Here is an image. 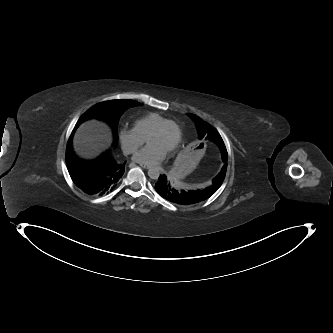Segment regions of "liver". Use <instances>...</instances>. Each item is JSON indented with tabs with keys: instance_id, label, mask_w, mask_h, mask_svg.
Segmentation results:
<instances>
[{
	"instance_id": "liver-1",
	"label": "liver",
	"mask_w": 333,
	"mask_h": 333,
	"mask_svg": "<svg viewBox=\"0 0 333 333\" xmlns=\"http://www.w3.org/2000/svg\"><path fill=\"white\" fill-rule=\"evenodd\" d=\"M111 142L112 135L108 125L99 120H89L77 129L73 146L80 157L93 159L107 149Z\"/></svg>"
}]
</instances>
